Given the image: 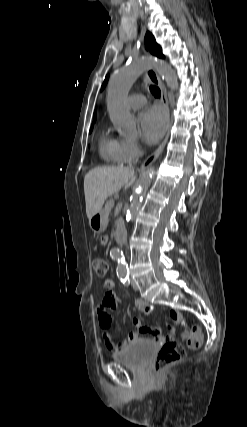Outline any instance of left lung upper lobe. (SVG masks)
<instances>
[{
	"label": "left lung upper lobe",
	"mask_w": 247,
	"mask_h": 427,
	"mask_svg": "<svg viewBox=\"0 0 247 427\" xmlns=\"http://www.w3.org/2000/svg\"><path fill=\"white\" fill-rule=\"evenodd\" d=\"M145 45L146 49L149 50L153 55L163 58L161 47L155 42L153 35L150 32H147L145 36ZM107 78L105 79L102 87L105 85Z\"/></svg>",
	"instance_id": "5c2ea615"
}]
</instances>
